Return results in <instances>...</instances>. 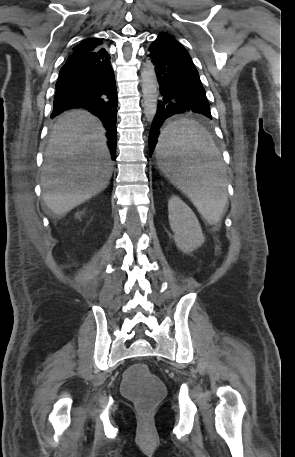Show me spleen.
<instances>
[{
    "label": "spleen",
    "instance_id": "3e777b00",
    "mask_svg": "<svg viewBox=\"0 0 295 457\" xmlns=\"http://www.w3.org/2000/svg\"><path fill=\"white\" fill-rule=\"evenodd\" d=\"M158 165L211 225L227 203V181L210 134L198 122L179 119L167 125L156 148Z\"/></svg>",
    "mask_w": 295,
    "mask_h": 457
}]
</instances>
